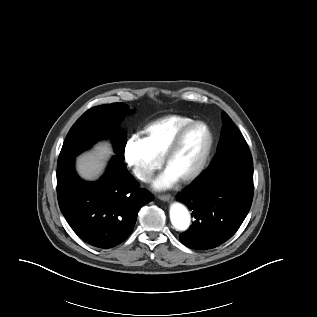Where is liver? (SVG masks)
Returning <instances> with one entry per match:
<instances>
[{
	"mask_svg": "<svg viewBox=\"0 0 317 317\" xmlns=\"http://www.w3.org/2000/svg\"><path fill=\"white\" fill-rule=\"evenodd\" d=\"M113 154L109 143H100L93 151L84 153L76 159V170L83 179L94 180L103 172L107 160Z\"/></svg>",
	"mask_w": 317,
	"mask_h": 317,
	"instance_id": "1",
	"label": "liver"
}]
</instances>
